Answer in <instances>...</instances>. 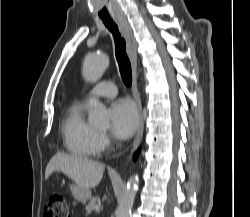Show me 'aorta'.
<instances>
[{
	"label": "aorta",
	"mask_w": 250,
	"mask_h": 217,
	"mask_svg": "<svg viewBox=\"0 0 250 217\" xmlns=\"http://www.w3.org/2000/svg\"><path fill=\"white\" fill-rule=\"evenodd\" d=\"M108 66V58L103 53H89L83 63L82 75L88 82L98 81ZM89 120L98 126H106L109 123L108 112L104 104L96 102ZM139 177H130L125 187L124 193L119 201L116 217H130L138 190Z\"/></svg>",
	"instance_id": "obj_1"
}]
</instances>
